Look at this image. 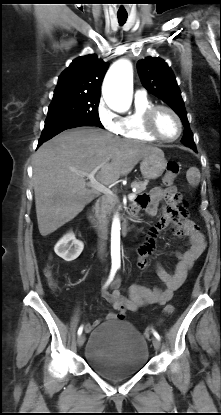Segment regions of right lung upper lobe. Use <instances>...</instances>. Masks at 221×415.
Wrapping results in <instances>:
<instances>
[{
    "instance_id": "1",
    "label": "right lung upper lobe",
    "mask_w": 221,
    "mask_h": 415,
    "mask_svg": "<svg viewBox=\"0 0 221 415\" xmlns=\"http://www.w3.org/2000/svg\"><path fill=\"white\" fill-rule=\"evenodd\" d=\"M108 63L96 55L78 57L59 76L54 94L83 93L100 96V86Z\"/></svg>"
}]
</instances>
